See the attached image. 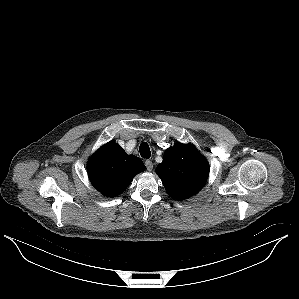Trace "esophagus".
Returning <instances> with one entry per match:
<instances>
[{"instance_id":"1","label":"esophagus","mask_w":299,"mask_h":299,"mask_svg":"<svg viewBox=\"0 0 299 299\" xmlns=\"http://www.w3.org/2000/svg\"><path fill=\"white\" fill-rule=\"evenodd\" d=\"M145 166H146V169H147L148 171H151V170L153 169V163H152V161H150V160H146V161H145Z\"/></svg>"}]
</instances>
